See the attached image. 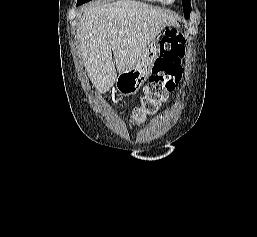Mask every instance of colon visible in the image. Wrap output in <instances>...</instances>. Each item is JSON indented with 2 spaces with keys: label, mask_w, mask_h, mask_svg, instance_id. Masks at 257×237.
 <instances>
[{
  "label": "colon",
  "mask_w": 257,
  "mask_h": 237,
  "mask_svg": "<svg viewBox=\"0 0 257 237\" xmlns=\"http://www.w3.org/2000/svg\"><path fill=\"white\" fill-rule=\"evenodd\" d=\"M184 44V37L180 32L175 29L165 31L141 104L132 112L131 117L135 123H141L146 115L155 113L167 94L174 90L182 72Z\"/></svg>",
  "instance_id": "colon-1"
}]
</instances>
